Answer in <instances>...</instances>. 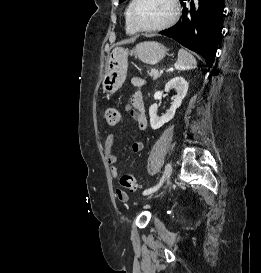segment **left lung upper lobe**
<instances>
[{"mask_svg":"<svg viewBox=\"0 0 261 273\" xmlns=\"http://www.w3.org/2000/svg\"><path fill=\"white\" fill-rule=\"evenodd\" d=\"M123 1H125V0H119V2H123Z\"/></svg>","mask_w":261,"mask_h":273,"instance_id":"left-lung-upper-lobe-1","label":"left lung upper lobe"}]
</instances>
